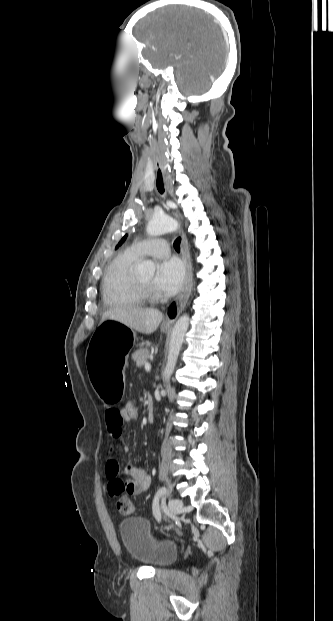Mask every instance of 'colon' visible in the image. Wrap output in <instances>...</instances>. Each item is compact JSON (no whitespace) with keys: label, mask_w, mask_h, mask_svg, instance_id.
<instances>
[{"label":"colon","mask_w":333,"mask_h":621,"mask_svg":"<svg viewBox=\"0 0 333 621\" xmlns=\"http://www.w3.org/2000/svg\"><path fill=\"white\" fill-rule=\"evenodd\" d=\"M121 409L127 422L134 421L138 418L139 410L133 400L129 399L123 401ZM117 509L122 515H132L136 511V507L133 502L125 497H122L117 501Z\"/></svg>","instance_id":"5ec220e1"}]
</instances>
